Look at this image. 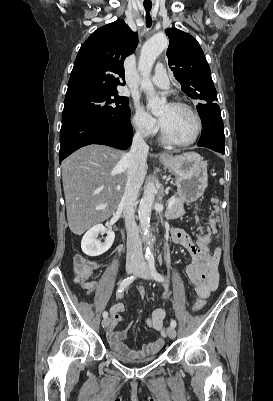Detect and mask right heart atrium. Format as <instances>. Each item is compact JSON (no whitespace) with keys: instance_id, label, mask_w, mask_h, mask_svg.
<instances>
[{"instance_id":"d8ad5b80","label":"right heart atrium","mask_w":273,"mask_h":401,"mask_svg":"<svg viewBox=\"0 0 273 401\" xmlns=\"http://www.w3.org/2000/svg\"><path fill=\"white\" fill-rule=\"evenodd\" d=\"M132 126L141 138H150L158 130V123L155 118L149 115L140 105L135 104L131 119Z\"/></svg>"}]
</instances>
